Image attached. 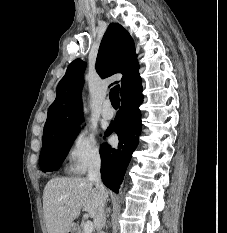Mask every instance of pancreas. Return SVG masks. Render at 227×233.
Returning a JSON list of instances; mask_svg holds the SVG:
<instances>
[{
	"label": "pancreas",
	"mask_w": 227,
	"mask_h": 233,
	"mask_svg": "<svg viewBox=\"0 0 227 233\" xmlns=\"http://www.w3.org/2000/svg\"><path fill=\"white\" fill-rule=\"evenodd\" d=\"M78 233H83V231H79Z\"/></svg>",
	"instance_id": "pancreas-1"
}]
</instances>
